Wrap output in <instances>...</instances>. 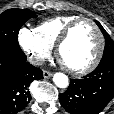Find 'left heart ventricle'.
I'll return each instance as SVG.
<instances>
[{"label": "left heart ventricle", "mask_w": 114, "mask_h": 114, "mask_svg": "<svg viewBox=\"0 0 114 114\" xmlns=\"http://www.w3.org/2000/svg\"><path fill=\"white\" fill-rule=\"evenodd\" d=\"M99 45L98 35L89 22L79 23L63 45L61 61L72 68H82L94 58Z\"/></svg>", "instance_id": "1"}]
</instances>
